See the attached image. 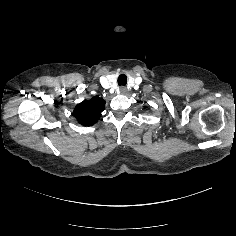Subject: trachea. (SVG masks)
Here are the masks:
<instances>
[{
    "instance_id": "obj_1",
    "label": "trachea",
    "mask_w": 236,
    "mask_h": 236,
    "mask_svg": "<svg viewBox=\"0 0 236 236\" xmlns=\"http://www.w3.org/2000/svg\"><path fill=\"white\" fill-rule=\"evenodd\" d=\"M119 86H125L127 84V77L124 74H121L117 79Z\"/></svg>"
}]
</instances>
